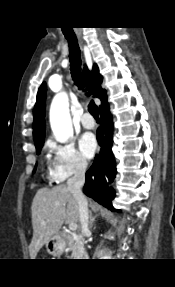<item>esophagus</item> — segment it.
Instances as JSON below:
<instances>
[{"mask_svg": "<svg viewBox=\"0 0 175 287\" xmlns=\"http://www.w3.org/2000/svg\"><path fill=\"white\" fill-rule=\"evenodd\" d=\"M79 41L81 42V44H83V40L81 38H79Z\"/></svg>", "mask_w": 175, "mask_h": 287, "instance_id": "obj_1", "label": "esophagus"}]
</instances>
